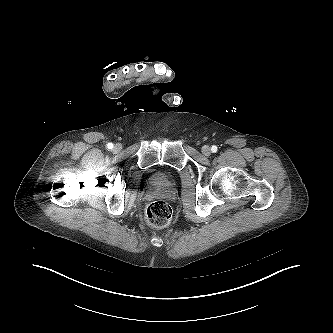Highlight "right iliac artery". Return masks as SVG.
I'll return each instance as SVG.
<instances>
[{
	"instance_id": "1",
	"label": "right iliac artery",
	"mask_w": 333,
	"mask_h": 333,
	"mask_svg": "<svg viewBox=\"0 0 333 333\" xmlns=\"http://www.w3.org/2000/svg\"><path fill=\"white\" fill-rule=\"evenodd\" d=\"M107 148H108V149H112V148H113V144H112V143H108V144H107Z\"/></svg>"
}]
</instances>
